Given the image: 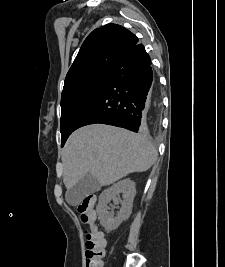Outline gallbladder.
Masks as SVG:
<instances>
[{"label": "gallbladder", "instance_id": "obj_1", "mask_svg": "<svg viewBox=\"0 0 225 267\" xmlns=\"http://www.w3.org/2000/svg\"><path fill=\"white\" fill-rule=\"evenodd\" d=\"M101 185L99 181L90 173L85 175L79 182L67 190L65 194L66 201L71 206L78 205L87 195L99 191Z\"/></svg>", "mask_w": 225, "mask_h": 267}]
</instances>
